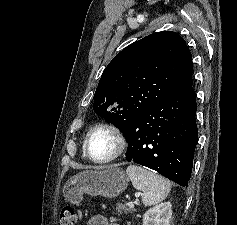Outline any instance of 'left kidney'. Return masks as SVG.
I'll return each instance as SVG.
<instances>
[{"instance_id":"1","label":"left kidney","mask_w":237,"mask_h":225,"mask_svg":"<svg viewBox=\"0 0 237 225\" xmlns=\"http://www.w3.org/2000/svg\"><path fill=\"white\" fill-rule=\"evenodd\" d=\"M172 205L164 202L150 208L143 216V225H170Z\"/></svg>"}]
</instances>
